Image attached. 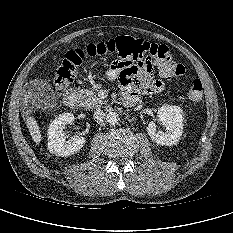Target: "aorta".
Returning a JSON list of instances; mask_svg holds the SVG:
<instances>
[{
  "mask_svg": "<svg viewBox=\"0 0 233 233\" xmlns=\"http://www.w3.org/2000/svg\"><path fill=\"white\" fill-rule=\"evenodd\" d=\"M120 118L119 115L116 112H110L107 115V122L111 125L118 124Z\"/></svg>",
  "mask_w": 233,
  "mask_h": 233,
  "instance_id": "aorta-1",
  "label": "aorta"
}]
</instances>
